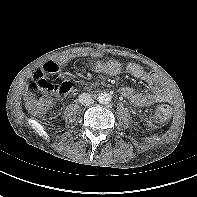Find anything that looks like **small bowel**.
<instances>
[{"instance_id": "obj_1", "label": "small bowel", "mask_w": 197, "mask_h": 197, "mask_svg": "<svg viewBox=\"0 0 197 197\" xmlns=\"http://www.w3.org/2000/svg\"><path fill=\"white\" fill-rule=\"evenodd\" d=\"M100 52H94L92 57H101ZM67 65V59H60L59 61H48L35 72V78H41L46 75L56 74ZM94 71L100 74L117 75L121 72V64L115 59L107 61H97L94 65ZM127 71L133 77L144 81L149 87L147 92L136 91L132 87H122L120 94L137 106H149L156 102L171 101L172 94L170 92L168 82L155 72H149L135 63L127 66Z\"/></svg>"}]
</instances>
